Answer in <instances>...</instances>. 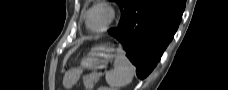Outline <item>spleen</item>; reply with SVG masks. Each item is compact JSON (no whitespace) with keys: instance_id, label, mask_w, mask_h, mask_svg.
<instances>
[{"instance_id":"1","label":"spleen","mask_w":228,"mask_h":90,"mask_svg":"<svg viewBox=\"0 0 228 90\" xmlns=\"http://www.w3.org/2000/svg\"><path fill=\"white\" fill-rule=\"evenodd\" d=\"M134 72V66L125 56L124 50L119 47L114 61V69L106 73L105 79L111 87H123L131 83Z\"/></svg>"}]
</instances>
